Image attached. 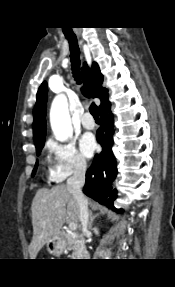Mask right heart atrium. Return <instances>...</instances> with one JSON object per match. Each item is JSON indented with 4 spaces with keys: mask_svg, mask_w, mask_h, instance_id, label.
<instances>
[{
    "mask_svg": "<svg viewBox=\"0 0 175 287\" xmlns=\"http://www.w3.org/2000/svg\"><path fill=\"white\" fill-rule=\"evenodd\" d=\"M46 148L52 157V165L49 169L51 181L61 182L67 177L87 169V160L73 141L58 142L50 139Z\"/></svg>",
    "mask_w": 175,
    "mask_h": 287,
    "instance_id": "1",
    "label": "right heart atrium"
}]
</instances>
